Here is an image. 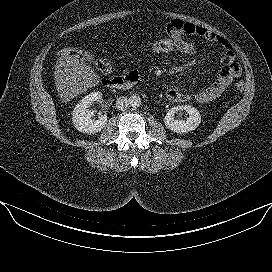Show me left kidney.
<instances>
[{
  "label": "left kidney",
  "mask_w": 272,
  "mask_h": 272,
  "mask_svg": "<svg viewBox=\"0 0 272 272\" xmlns=\"http://www.w3.org/2000/svg\"><path fill=\"white\" fill-rule=\"evenodd\" d=\"M183 110L189 114V117H187L186 120L175 119V114ZM164 123L171 131L176 133H187L195 130L199 126L201 123V116L199 111L190 105L177 106L169 109L164 118Z\"/></svg>",
  "instance_id": "obj_1"
}]
</instances>
